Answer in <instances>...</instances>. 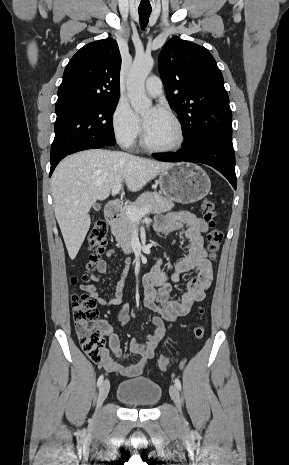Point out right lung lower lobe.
Wrapping results in <instances>:
<instances>
[{
  "label": "right lung lower lobe",
  "mask_w": 289,
  "mask_h": 465,
  "mask_svg": "<svg viewBox=\"0 0 289 465\" xmlns=\"http://www.w3.org/2000/svg\"><path fill=\"white\" fill-rule=\"evenodd\" d=\"M104 146H108L106 143L104 142H101V141H90V142H86L84 144H81L80 146H78L75 150H73L72 152H70L69 154H72V153H75V152H78V151H82V150H86V149H95V148H101V147H104ZM67 154V155H69ZM67 155L51 162V169H50V173H49V176L52 175L55 167L57 166V164L64 158L66 157Z\"/></svg>",
  "instance_id": "right-lung-lower-lobe-1"
}]
</instances>
